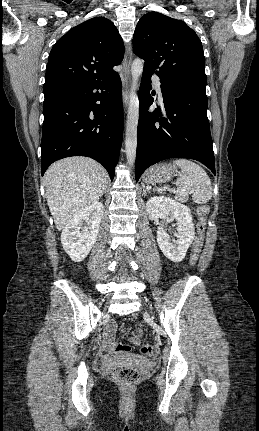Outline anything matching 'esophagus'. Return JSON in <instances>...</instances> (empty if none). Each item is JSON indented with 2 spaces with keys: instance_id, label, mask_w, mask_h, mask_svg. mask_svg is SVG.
<instances>
[{
  "instance_id": "esophagus-1",
  "label": "esophagus",
  "mask_w": 259,
  "mask_h": 431,
  "mask_svg": "<svg viewBox=\"0 0 259 431\" xmlns=\"http://www.w3.org/2000/svg\"><path fill=\"white\" fill-rule=\"evenodd\" d=\"M133 60V51H132V45L129 44L124 58V68H123V102L125 109L128 106L129 103V94L131 90V64Z\"/></svg>"
}]
</instances>
